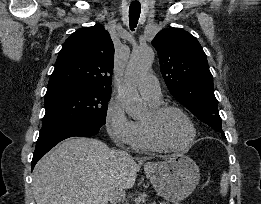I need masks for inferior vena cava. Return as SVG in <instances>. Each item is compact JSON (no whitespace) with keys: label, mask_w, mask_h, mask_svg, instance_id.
<instances>
[{"label":"inferior vena cava","mask_w":261,"mask_h":204,"mask_svg":"<svg viewBox=\"0 0 261 204\" xmlns=\"http://www.w3.org/2000/svg\"><path fill=\"white\" fill-rule=\"evenodd\" d=\"M118 152L122 157H126L127 155L125 151L119 150ZM109 200L112 204H117V202L125 201V188L122 184L117 183L112 186L109 192Z\"/></svg>","instance_id":"1"}]
</instances>
